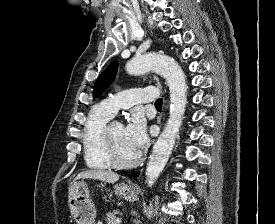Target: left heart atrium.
I'll list each match as a JSON object with an SVG mask.
<instances>
[{
	"label": "left heart atrium",
	"instance_id": "obj_1",
	"mask_svg": "<svg viewBox=\"0 0 275 224\" xmlns=\"http://www.w3.org/2000/svg\"><path fill=\"white\" fill-rule=\"evenodd\" d=\"M126 140L138 153L147 144L146 127L143 118L139 115L133 116L128 125L124 128Z\"/></svg>",
	"mask_w": 275,
	"mask_h": 224
}]
</instances>
